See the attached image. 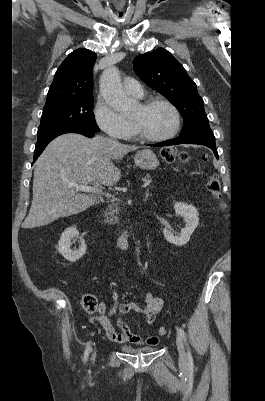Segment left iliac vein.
<instances>
[{
    "instance_id": "left-iliac-vein-1",
    "label": "left iliac vein",
    "mask_w": 265,
    "mask_h": 401,
    "mask_svg": "<svg viewBox=\"0 0 265 401\" xmlns=\"http://www.w3.org/2000/svg\"><path fill=\"white\" fill-rule=\"evenodd\" d=\"M176 345H177V349L179 352V362L181 364H184V366H186V364H187L186 351H185L184 343L179 335H177V337H176Z\"/></svg>"
}]
</instances>
